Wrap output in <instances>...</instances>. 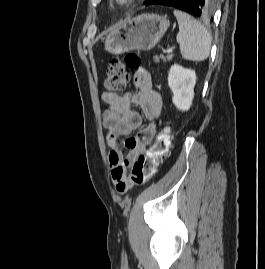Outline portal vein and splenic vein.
Instances as JSON below:
<instances>
[{
  "label": "portal vein and splenic vein",
  "instance_id": "portal-vein-and-splenic-vein-1",
  "mask_svg": "<svg viewBox=\"0 0 265 269\" xmlns=\"http://www.w3.org/2000/svg\"><path fill=\"white\" fill-rule=\"evenodd\" d=\"M172 50H173L172 48H168L166 51L167 52H172Z\"/></svg>",
  "mask_w": 265,
  "mask_h": 269
}]
</instances>
